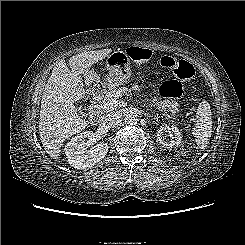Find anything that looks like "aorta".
Here are the masks:
<instances>
[{
  "instance_id": "aorta-1",
  "label": "aorta",
  "mask_w": 245,
  "mask_h": 245,
  "mask_svg": "<svg viewBox=\"0 0 245 245\" xmlns=\"http://www.w3.org/2000/svg\"><path fill=\"white\" fill-rule=\"evenodd\" d=\"M124 120L127 124L134 125L138 121V115L135 112H127Z\"/></svg>"
}]
</instances>
